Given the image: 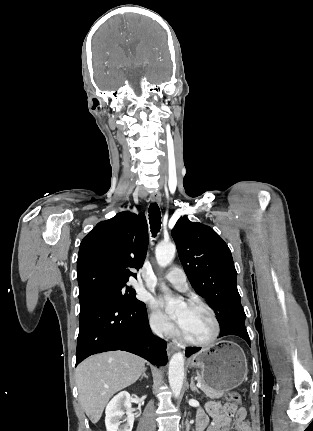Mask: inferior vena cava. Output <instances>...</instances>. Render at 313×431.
Masks as SVG:
<instances>
[{"mask_svg": "<svg viewBox=\"0 0 313 431\" xmlns=\"http://www.w3.org/2000/svg\"><path fill=\"white\" fill-rule=\"evenodd\" d=\"M153 332L157 335V336H162V324L160 323H156L153 325Z\"/></svg>", "mask_w": 313, "mask_h": 431, "instance_id": "602c4592", "label": "inferior vena cava"}]
</instances>
